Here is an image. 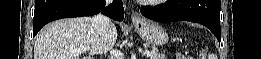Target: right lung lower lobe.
<instances>
[{
	"label": "right lung lower lobe",
	"mask_w": 261,
	"mask_h": 59,
	"mask_svg": "<svg viewBox=\"0 0 261 59\" xmlns=\"http://www.w3.org/2000/svg\"><path fill=\"white\" fill-rule=\"evenodd\" d=\"M99 12L117 21L124 19L121 0H114L108 7H105L104 0H36L33 36L51 21L67 17L92 16Z\"/></svg>",
	"instance_id": "right-lung-lower-lobe-1"
}]
</instances>
